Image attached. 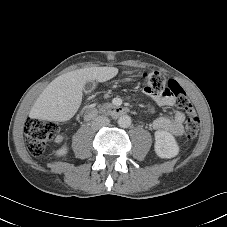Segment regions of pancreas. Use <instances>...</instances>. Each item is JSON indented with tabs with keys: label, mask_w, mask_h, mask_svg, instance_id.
Wrapping results in <instances>:
<instances>
[{
	"label": "pancreas",
	"mask_w": 227,
	"mask_h": 227,
	"mask_svg": "<svg viewBox=\"0 0 227 227\" xmlns=\"http://www.w3.org/2000/svg\"><path fill=\"white\" fill-rule=\"evenodd\" d=\"M111 106V104L110 103H105V104H103V106H101V108L103 109V108H109Z\"/></svg>",
	"instance_id": "obj_1"
}]
</instances>
